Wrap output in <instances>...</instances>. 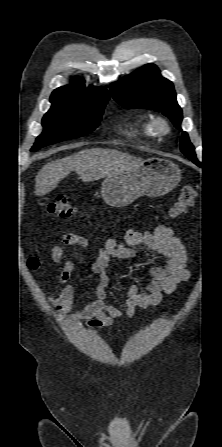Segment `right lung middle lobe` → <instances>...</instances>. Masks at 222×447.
<instances>
[{
	"label": "right lung middle lobe",
	"mask_w": 222,
	"mask_h": 447,
	"mask_svg": "<svg viewBox=\"0 0 222 447\" xmlns=\"http://www.w3.org/2000/svg\"><path fill=\"white\" fill-rule=\"evenodd\" d=\"M108 99L52 94V106L42 119L43 132L31 150L90 133L99 125Z\"/></svg>",
	"instance_id": "dd1d6c3e"
}]
</instances>
